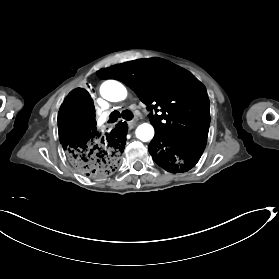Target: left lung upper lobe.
<instances>
[{
	"label": "left lung upper lobe",
	"instance_id": "1",
	"mask_svg": "<svg viewBox=\"0 0 279 279\" xmlns=\"http://www.w3.org/2000/svg\"><path fill=\"white\" fill-rule=\"evenodd\" d=\"M97 75L122 81L148 109H154L149 117L156 134L181 141H207L210 110L206 90L180 68L149 58L101 69Z\"/></svg>",
	"mask_w": 279,
	"mask_h": 279
}]
</instances>
